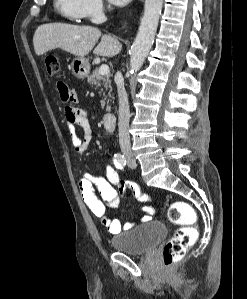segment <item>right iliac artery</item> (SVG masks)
<instances>
[{
  "label": "right iliac artery",
  "instance_id": "right-iliac-artery-1",
  "mask_svg": "<svg viewBox=\"0 0 247 299\" xmlns=\"http://www.w3.org/2000/svg\"><path fill=\"white\" fill-rule=\"evenodd\" d=\"M114 164L116 165L117 168L123 169L126 165L125 157L121 154H115L114 155Z\"/></svg>",
  "mask_w": 247,
  "mask_h": 299
}]
</instances>
